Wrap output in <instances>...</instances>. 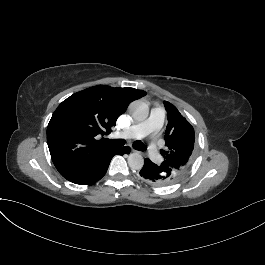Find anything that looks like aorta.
<instances>
[{"mask_svg":"<svg viewBox=\"0 0 265 265\" xmlns=\"http://www.w3.org/2000/svg\"><path fill=\"white\" fill-rule=\"evenodd\" d=\"M129 112L135 121H144L149 115L148 106L142 101L132 102L129 106ZM128 164L131 169L140 170L144 166V159L139 153H132L128 157Z\"/></svg>","mask_w":265,"mask_h":265,"instance_id":"obj_1","label":"aorta"}]
</instances>
